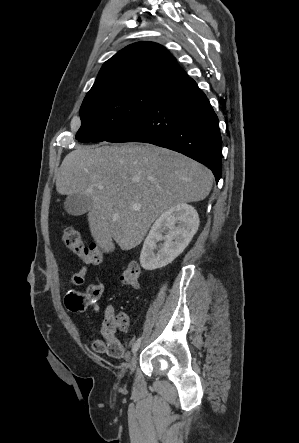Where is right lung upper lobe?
<instances>
[{
  "instance_id": "right-lung-upper-lobe-1",
  "label": "right lung upper lobe",
  "mask_w": 299,
  "mask_h": 443,
  "mask_svg": "<svg viewBox=\"0 0 299 443\" xmlns=\"http://www.w3.org/2000/svg\"><path fill=\"white\" fill-rule=\"evenodd\" d=\"M186 78V72L163 46L142 41L125 47L106 61L86 97L118 88L166 90Z\"/></svg>"
}]
</instances>
